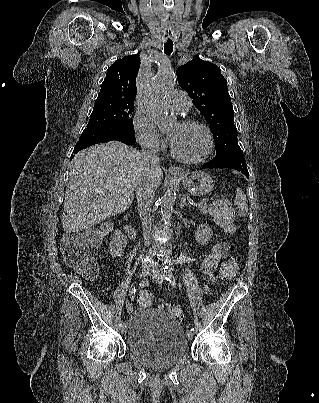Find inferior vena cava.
<instances>
[{"mask_svg": "<svg viewBox=\"0 0 319 403\" xmlns=\"http://www.w3.org/2000/svg\"><path fill=\"white\" fill-rule=\"evenodd\" d=\"M141 148V159L147 168V174L136 189V196L138 209L142 219L144 237L146 242L149 243L152 225L150 213L155 191L152 172L159 167V159L156 155V149L152 144L143 143Z\"/></svg>", "mask_w": 319, "mask_h": 403, "instance_id": "602c4592", "label": "inferior vena cava"}]
</instances>
